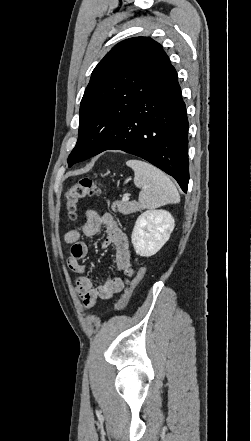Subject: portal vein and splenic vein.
<instances>
[{
  "label": "portal vein and splenic vein",
  "instance_id": "1",
  "mask_svg": "<svg viewBox=\"0 0 251 441\" xmlns=\"http://www.w3.org/2000/svg\"><path fill=\"white\" fill-rule=\"evenodd\" d=\"M123 200H124V201L129 200V195H128V194L124 195Z\"/></svg>",
  "mask_w": 251,
  "mask_h": 441
}]
</instances>
